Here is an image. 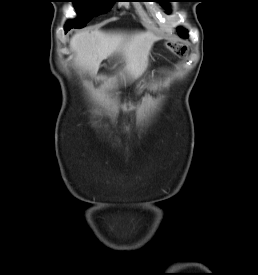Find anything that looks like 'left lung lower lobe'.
Masks as SVG:
<instances>
[{
  "mask_svg": "<svg viewBox=\"0 0 258 275\" xmlns=\"http://www.w3.org/2000/svg\"><path fill=\"white\" fill-rule=\"evenodd\" d=\"M183 38H187L188 37V35L186 34V35H184V36H182Z\"/></svg>",
  "mask_w": 258,
  "mask_h": 275,
  "instance_id": "obj_1",
  "label": "left lung lower lobe"
}]
</instances>
